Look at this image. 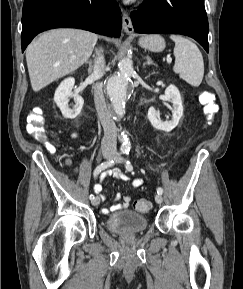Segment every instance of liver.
I'll return each instance as SVG.
<instances>
[{"mask_svg":"<svg viewBox=\"0 0 243 289\" xmlns=\"http://www.w3.org/2000/svg\"><path fill=\"white\" fill-rule=\"evenodd\" d=\"M98 36L72 28L44 32L26 49V62L33 91L38 92L83 65L91 56Z\"/></svg>","mask_w":243,"mask_h":289,"instance_id":"obj_1","label":"liver"}]
</instances>
